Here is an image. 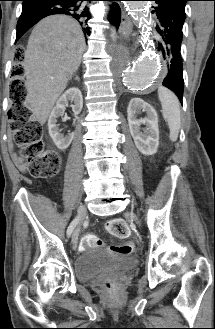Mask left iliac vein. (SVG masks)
I'll use <instances>...</instances> for the list:
<instances>
[{
	"mask_svg": "<svg viewBox=\"0 0 215 329\" xmlns=\"http://www.w3.org/2000/svg\"><path fill=\"white\" fill-rule=\"evenodd\" d=\"M125 216L132 218L133 220L136 221V223L139 224V220L133 212H128V213L125 214Z\"/></svg>",
	"mask_w": 215,
	"mask_h": 329,
	"instance_id": "1",
	"label": "left iliac vein"
}]
</instances>
